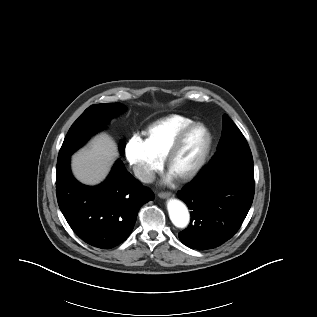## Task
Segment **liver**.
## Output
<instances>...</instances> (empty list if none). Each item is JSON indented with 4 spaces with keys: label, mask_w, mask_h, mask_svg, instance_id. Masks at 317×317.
<instances>
[{
    "label": "liver",
    "mask_w": 317,
    "mask_h": 317,
    "mask_svg": "<svg viewBox=\"0 0 317 317\" xmlns=\"http://www.w3.org/2000/svg\"><path fill=\"white\" fill-rule=\"evenodd\" d=\"M118 155L114 140L106 134H100L91 140L88 147L73 155V174L84 184H98L106 177Z\"/></svg>",
    "instance_id": "1"
}]
</instances>
